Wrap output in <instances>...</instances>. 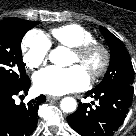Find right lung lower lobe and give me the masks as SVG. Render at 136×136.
Returning a JSON list of instances; mask_svg holds the SVG:
<instances>
[{
	"label": "right lung lower lobe",
	"instance_id": "1",
	"mask_svg": "<svg viewBox=\"0 0 136 136\" xmlns=\"http://www.w3.org/2000/svg\"><path fill=\"white\" fill-rule=\"evenodd\" d=\"M31 81L28 78L12 90H0V136H29L35 128L38 118V106L46 100L44 95L27 104H15L14 96L29 90Z\"/></svg>",
	"mask_w": 136,
	"mask_h": 136
}]
</instances>
